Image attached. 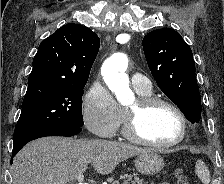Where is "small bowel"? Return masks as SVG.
<instances>
[{
	"label": "small bowel",
	"mask_w": 224,
	"mask_h": 184,
	"mask_svg": "<svg viewBox=\"0 0 224 184\" xmlns=\"http://www.w3.org/2000/svg\"><path fill=\"white\" fill-rule=\"evenodd\" d=\"M160 184H169V183L164 182V183H160Z\"/></svg>",
	"instance_id": "1"
}]
</instances>
